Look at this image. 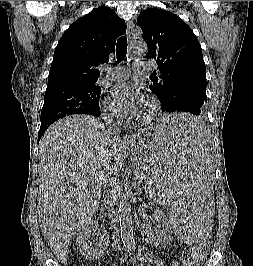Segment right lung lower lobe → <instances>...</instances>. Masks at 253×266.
Returning <instances> with one entry per match:
<instances>
[{
	"label": "right lung lower lobe",
	"instance_id": "98d812e1",
	"mask_svg": "<svg viewBox=\"0 0 253 266\" xmlns=\"http://www.w3.org/2000/svg\"><path fill=\"white\" fill-rule=\"evenodd\" d=\"M101 113L99 112L98 114H91V115H94V116H99ZM49 126H41L40 127V130H39V133H38V142L40 140V138L42 137V135L44 134L45 130L48 128Z\"/></svg>",
	"mask_w": 253,
	"mask_h": 266
}]
</instances>
